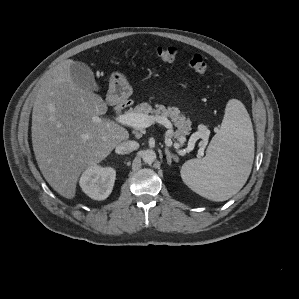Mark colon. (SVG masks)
I'll use <instances>...</instances> for the list:
<instances>
[{
    "mask_svg": "<svg viewBox=\"0 0 299 299\" xmlns=\"http://www.w3.org/2000/svg\"><path fill=\"white\" fill-rule=\"evenodd\" d=\"M155 53L160 60L164 62H173L178 55V49L174 46H159L156 48ZM189 66L199 74H205L209 69L207 62L199 54H195L191 57Z\"/></svg>",
    "mask_w": 299,
    "mask_h": 299,
    "instance_id": "colon-1",
    "label": "colon"
}]
</instances>
